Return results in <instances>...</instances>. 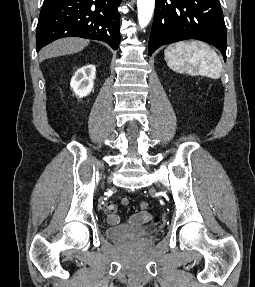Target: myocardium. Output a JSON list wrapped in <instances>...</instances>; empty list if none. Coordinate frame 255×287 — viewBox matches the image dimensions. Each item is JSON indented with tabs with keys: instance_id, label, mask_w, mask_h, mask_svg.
<instances>
[{
	"instance_id": "1",
	"label": "myocardium",
	"mask_w": 255,
	"mask_h": 287,
	"mask_svg": "<svg viewBox=\"0 0 255 287\" xmlns=\"http://www.w3.org/2000/svg\"><path fill=\"white\" fill-rule=\"evenodd\" d=\"M153 48H168V47H153Z\"/></svg>"
}]
</instances>
